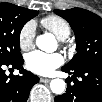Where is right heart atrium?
Here are the masks:
<instances>
[{"mask_svg":"<svg viewBox=\"0 0 102 102\" xmlns=\"http://www.w3.org/2000/svg\"><path fill=\"white\" fill-rule=\"evenodd\" d=\"M35 34V23L33 21L26 22L19 32V43L22 49L28 50L33 46Z\"/></svg>","mask_w":102,"mask_h":102,"instance_id":"1","label":"right heart atrium"}]
</instances>
